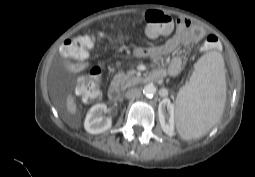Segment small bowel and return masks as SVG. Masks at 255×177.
<instances>
[{
  "instance_id": "c3829d8e",
  "label": "small bowel",
  "mask_w": 255,
  "mask_h": 177,
  "mask_svg": "<svg viewBox=\"0 0 255 177\" xmlns=\"http://www.w3.org/2000/svg\"><path fill=\"white\" fill-rule=\"evenodd\" d=\"M171 31L165 34H170ZM204 37V31L202 28L192 25L186 19H180L172 33V35L162 44L149 47V48H135L133 55L136 57L148 58L152 62L157 64V72L162 76L168 74L170 77H177L180 75L183 69V61L179 55H174L168 67L165 68L162 64V57L168 54H172L183 45H189L195 41H199ZM216 45V42H213Z\"/></svg>"
}]
</instances>
